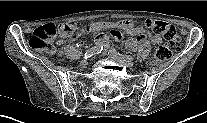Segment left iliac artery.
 <instances>
[{
  "instance_id": "44dca946",
  "label": "left iliac artery",
  "mask_w": 207,
  "mask_h": 123,
  "mask_svg": "<svg viewBox=\"0 0 207 123\" xmlns=\"http://www.w3.org/2000/svg\"><path fill=\"white\" fill-rule=\"evenodd\" d=\"M110 53H112V54H114V55L121 56V57L126 58V59H129V60H133L132 56H130V55H125V56H123V55H121L119 52H117V50L114 49V48H112V49L110 50Z\"/></svg>"
}]
</instances>
